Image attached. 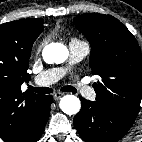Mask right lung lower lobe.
Returning <instances> with one entry per match:
<instances>
[{"mask_svg":"<svg viewBox=\"0 0 142 142\" xmlns=\"http://www.w3.org/2000/svg\"><path fill=\"white\" fill-rule=\"evenodd\" d=\"M43 100V107L40 113L34 119L31 127L27 130V132L16 142H37L40 139L49 118L50 104L53 98L51 95H48L44 96Z\"/></svg>","mask_w":142,"mask_h":142,"instance_id":"1","label":"right lung lower lobe"}]
</instances>
